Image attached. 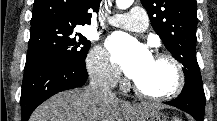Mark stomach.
<instances>
[{"label":"stomach","mask_w":217,"mask_h":121,"mask_svg":"<svg viewBox=\"0 0 217 121\" xmlns=\"http://www.w3.org/2000/svg\"><path fill=\"white\" fill-rule=\"evenodd\" d=\"M141 121H167V119L156 110H146L141 115Z\"/></svg>","instance_id":"obj_1"}]
</instances>
